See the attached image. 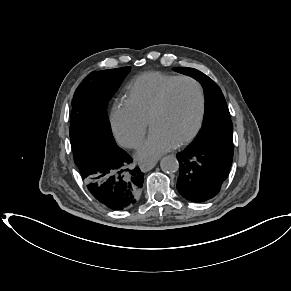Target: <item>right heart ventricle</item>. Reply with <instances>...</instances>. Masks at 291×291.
<instances>
[{"label":"right heart ventricle","mask_w":291,"mask_h":291,"mask_svg":"<svg viewBox=\"0 0 291 291\" xmlns=\"http://www.w3.org/2000/svg\"><path fill=\"white\" fill-rule=\"evenodd\" d=\"M177 76L160 72H147L133 80L126 103L142 120L148 122L162 90Z\"/></svg>","instance_id":"obj_1"}]
</instances>
